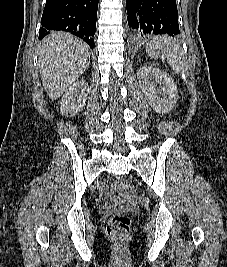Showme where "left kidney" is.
<instances>
[{"label":"left kidney","mask_w":227,"mask_h":267,"mask_svg":"<svg viewBox=\"0 0 227 267\" xmlns=\"http://www.w3.org/2000/svg\"><path fill=\"white\" fill-rule=\"evenodd\" d=\"M137 77L149 104L157 113L171 111L177 103V87L166 72L151 66L142 67Z\"/></svg>","instance_id":"5707ae66"}]
</instances>
